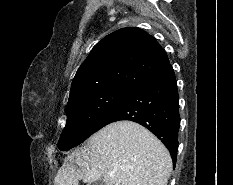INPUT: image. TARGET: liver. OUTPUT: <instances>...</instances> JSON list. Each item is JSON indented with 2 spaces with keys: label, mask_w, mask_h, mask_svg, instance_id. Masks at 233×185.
<instances>
[{
  "label": "liver",
  "mask_w": 233,
  "mask_h": 185,
  "mask_svg": "<svg viewBox=\"0 0 233 185\" xmlns=\"http://www.w3.org/2000/svg\"><path fill=\"white\" fill-rule=\"evenodd\" d=\"M172 159L149 130L132 121L111 123L68 155L54 185H167ZM113 173V176L110 174Z\"/></svg>",
  "instance_id": "obj_1"
}]
</instances>
